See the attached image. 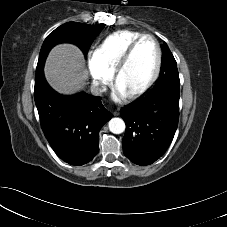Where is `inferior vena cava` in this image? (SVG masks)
<instances>
[{"label":"inferior vena cava","instance_id":"obj_1","mask_svg":"<svg viewBox=\"0 0 227 227\" xmlns=\"http://www.w3.org/2000/svg\"><path fill=\"white\" fill-rule=\"evenodd\" d=\"M106 91V86L99 84L98 82H93L91 86V92L95 96H101L103 92Z\"/></svg>","mask_w":227,"mask_h":227}]
</instances>
